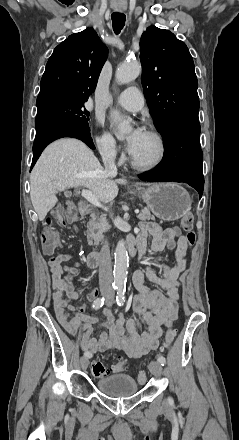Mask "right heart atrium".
Listing matches in <instances>:
<instances>
[{
	"label": "right heart atrium",
	"mask_w": 239,
	"mask_h": 440,
	"mask_svg": "<svg viewBox=\"0 0 239 440\" xmlns=\"http://www.w3.org/2000/svg\"><path fill=\"white\" fill-rule=\"evenodd\" d=\"M95 143L100 154L107 159H114L118 155V146L114 139L108 135L97 131L94 137Z\"/></svg>",
	"instance_id": "right-heart-atrium-1"
}]
</instances>
